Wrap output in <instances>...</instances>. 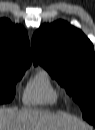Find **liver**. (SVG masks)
<instances>
[{"instance_id": "6515ba94", "label": "liver", "mask_w": 95, "mask_h": 130, "mask_svg": "<svg viewBox=\"0 0 95 130\" xmlns=\"http://www.w3.org/2000/svg\"><path fill=\"white\" fill-rule=\"evenodd\" d=\"M79 121L66 114L39 109L0 110V130H80Z\"/></svg>"}]
</instances>
